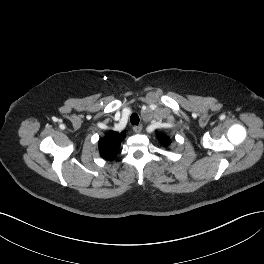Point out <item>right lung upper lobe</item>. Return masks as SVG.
I'll list each match as a JSON object with an SVG mask.
<instances>
[{
	"mask_svg": "<svg viewBox=\"0 0 264 264\" xmlns=\"http://www.w3.org/2000/svg\"><path fill=\"white\" fill-rule=\"evenodd\" d=\"M126 132L108 131L107 134L99 140V152L102 158L112 160L119 150L121 141L124 139Z\"/></svg>",
	"mask_w": 264,
	"mask_h": 264,
	"instance_id": "obj_1",
	"label": "right lung upper lobe"
}]
</instances>
